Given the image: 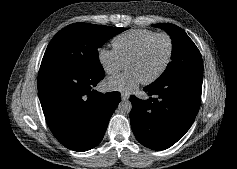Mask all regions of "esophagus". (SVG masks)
I'll return each instance as SVG.
<instances>
[{"label": "esophagus", "mask_w": 237, "mask_h": 169, "mask_svg": "<svg viewBox=\"0 0 237 169\" xmlns=\"http://www.w3.org/2000/svg\"><path fill=\"white\" fill-rule=\"evenodd\" d=\"M130 98V94H128V93H121V99L123 100V101H126V100H128Z\"/></svg>", "instance_id": "esophagus-1"}]
</instances>
